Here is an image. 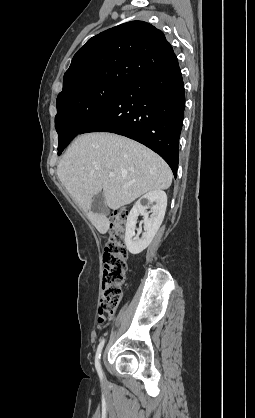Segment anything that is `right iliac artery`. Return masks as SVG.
<instances>
[{
  "label": "right iliac artery",
  "mask_w": 255,
  "mask_h": 418,
  "mask_svg": "<svg viewBox=\"0 0 255 418\" xmlns=\"http://www.w3.org/2000/svg\"><path fill=\"white\" fill-rule=\"evenodd\" d=\"M104 342H105V339H102L100 341V343L98 345V348H97V351H96V356H95V367H96L98 375L101 379L103 378V373H102L101 365H100V356H101V352H102V349H103V346H104Z\"/></svg>",
  "instance_id": "1"
}]
</instances>
